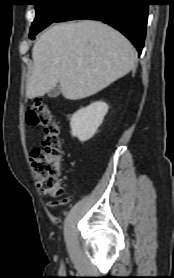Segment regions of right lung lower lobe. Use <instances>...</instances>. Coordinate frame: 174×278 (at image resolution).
I'll return each instance as SVG.
<instances>
[{
	"mask_svg": "<svg viewBox=\"0 0 174 278\" xmlns=\"http://www.w3.org/2000/svg\"><path fill=\"white\" fill-rule=\"evenodd\" d=\"M148 5L146 0H75L55 22L102 21L124 34L140 54L145 40Z\"/></svg>",
	"mask_w": 174,
	"mask_h": 278,
	"instance_id": "right-lung-lower-lobe-1",
	"label": "right lung lower lobe"
}]
</instances>
